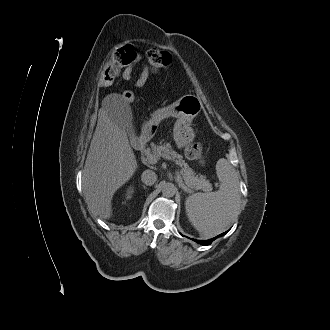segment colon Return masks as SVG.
<instances>
[{"label": "colon", "mask_w": 330, "mask_h": 330, "mask_svg": "<svg viewBox=\"0 0 330 330\" xmlns=\"http://www.w3.org/2000/svg\"><path fill=\"white\" fill-rule=\"evenodd\" d=\"M136 53L131 44L116 49L101 71V82L105 85L112 83L124 68L133 63ZM146 60L150 69L157 71L169 67L172 57L167 51L153 48L146 52ZM121 96L126 102L134 100V94L131 91H124ZM186 154L190 159L197 160L201 164L205 163L203 148L200 143L189 145L186 149Z\"/></svg>", "instance_id": "1"}]
</instances>
